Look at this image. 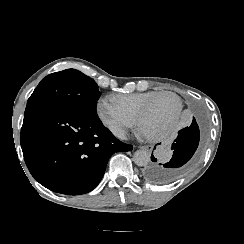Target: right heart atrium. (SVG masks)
<instances>
[{"label":"right heart atrium","instance_id":"1","mask_svg":"<svg viewBox=\"0 0 244 244\" xmlns=\"http://www.w3.org/2000/svg\"><path fill=\"white\" fill-rule=\"evenodd\" d=\"M97 114L101 121L117 136L137 127V113L131 106H121L111 103L108 99L97 104Z\"/></svg>","mask_w":244,"mask_h":244}]
</instances>
